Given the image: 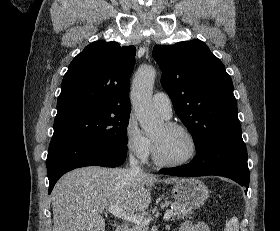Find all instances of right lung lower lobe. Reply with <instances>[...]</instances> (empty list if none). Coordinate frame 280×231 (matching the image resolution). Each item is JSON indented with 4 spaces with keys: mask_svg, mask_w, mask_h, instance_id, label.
Listing matches in <instances>:
<instances>
[{
    "mask_svg": "<svg viewBox=\"0 0 280 231\" xmlns=\"http://www.w3.org/2000/svg\"><path fill=\"white\" fill-rule=\"evenodd\" d=\"M126 154L121 153L118 148L104 147L84 139L52 138L46 160L49 194L57 180L66 172L94 165L118 167L124 163Z\"/></svg>",
    "mask_w": 280,
    "mask_h": 231,
    "instance_id": "right-lung-lower-lobe-1",
    "label": "right lung lower lobe"
}]
</instances>
